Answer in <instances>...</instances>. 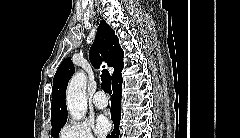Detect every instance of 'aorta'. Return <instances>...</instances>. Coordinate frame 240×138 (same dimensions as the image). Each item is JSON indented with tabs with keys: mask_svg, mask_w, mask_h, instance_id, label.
I'll return each instance as SVG.
<instances>
[{
	"mask_svg": "<svg viewBox=\"0 0 240 138\" xmlns=\"http://www.w3.org/2000/svg\"><path fill=\"white\" fill-rule=\"evenodd\" d=\"M86 80V75L82 71L78 72L67 88V108L74 120H81L87 112Z\"/></svg>",
	"mask_w": 240,
	"mask_h": 138,
	"instance_id": "aorta-1",
	"label": "aorta"
}]
</instances>
